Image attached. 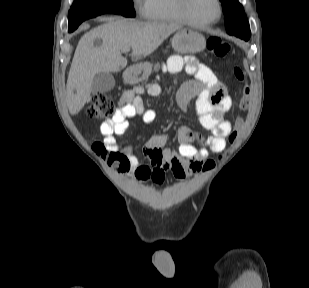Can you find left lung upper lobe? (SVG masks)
Instances as JSON below:
<instances>
[{"instance_id":"1","label":"left lung upper lobe","mask_w":309,"mask_h":288,"mask_svg":"<svg viewBox=\"0 0 309 288\" xmlns=\"http://www.w3.org/2000/svg\"><path fill=\"white\" fill-rule=\"evenodd\" d=\"M225 15L227 33H248L249 23L238 0H220Z\"/></svg>"}]
</instances>
